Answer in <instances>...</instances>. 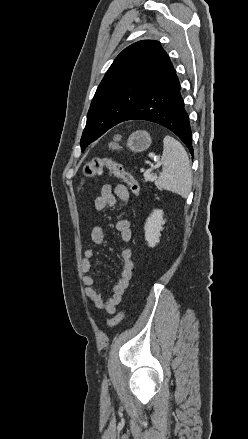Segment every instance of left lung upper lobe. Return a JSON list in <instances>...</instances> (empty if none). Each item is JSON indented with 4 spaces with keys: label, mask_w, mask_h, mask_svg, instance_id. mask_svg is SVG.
Masks as SVG:
<instances>
[{
    "label": "left lung upper lobe",
    "mask_w": 248,
    "mask_h": 439,
    "mask_svg": "<svg viewBox=\"0 0 248 439\" xmlns=\"http://www.w3.org/2000/svg\"><path fill=\"white\" fill-rule=\"evenodd\" d=\"M169 62V56L155 40L136 42L116 57L91 102L80 142L82 151L120 123Z\"/></svg>",
    "instance_id": "obj_1"
}]
</instances>
